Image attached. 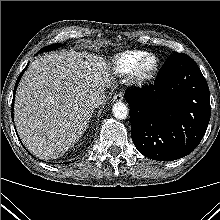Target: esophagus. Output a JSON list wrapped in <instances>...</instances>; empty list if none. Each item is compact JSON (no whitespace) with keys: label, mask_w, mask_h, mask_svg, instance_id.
<instances>
[{"label":"esophagus","mask_w":220,"mask_h":220,"mask_svg":"<svg viewBox=\"0 0 220 220\" xmlns=\"http://www.w3.org/2000/svg\"><path fill=\"white\" fill-rule=\"evenodd\" d=\"M123 98H124L123 93L119 92V93H117V94L114 95L113 100H114L115 102H119V101H122Z\"/></svg>","instance_id":"obj_1"}]
</instances>
